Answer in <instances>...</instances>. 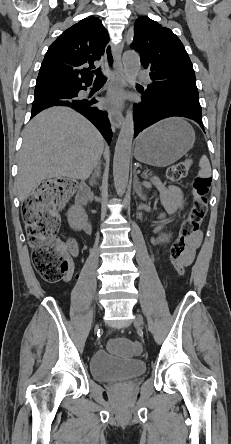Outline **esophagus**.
Instances as JSON below:
<instances>
[{
	"label": "esophagus",
	"mask_w": 231,
	"mask_h": 444,
	"mask_svg": "<svg viewBox=\"0 0 231 444\" xmlns=\"http://www.w3.org/2000/svg\"><path fill=\"white\" fill-rule=\"evenodd\" d=\"M122 46L123 43L121 42L115 50L113 44L109 43L105 49V62L107 67L111 69L109 93L122 92L124 89V70L120 59ZM107 112L112 128L114 130L119 129L123 123L121 107H108Z\"/></svg>",
	"instance_id": "esophagus-1"
}]
</instances>
